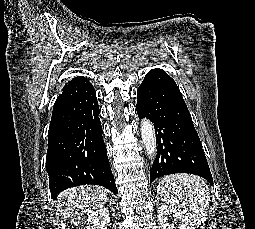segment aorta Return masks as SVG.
I'll use <instances>...</instances> for the list:
<instances>
[{
  "instance_id": "1",
  "label": "aorta",
  "mask_w": 255,
  "mask_h": 229,
  "mask_svg": "<svg viewBox=\"0 0 255 229\" xmlns=\"http://www.w3.org/2000/svg\"><path fill=\"white\" fill-rule=\"evenodd\" d=\"M140 130L146 153L150 158H153L156 154V137L153 123L149 119L144 118L141 121Z\"/></svg>"
}]
</instances>
